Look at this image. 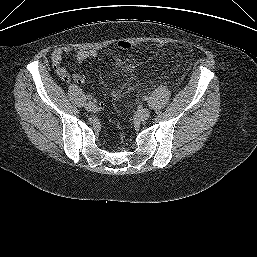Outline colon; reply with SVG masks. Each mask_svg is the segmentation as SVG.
Instances as JSON below:
<instances>
[{"instance_id":"colon-1","label":"colon","mask_w":257,"mask_h":257,"mask_svg":"<svg viewBox=\"0 0 257 257\" xmlns=\"http://www.w3.org/2000/svg\"><path fill=\"white\" fill-rule=\"evenodd\" d=\"M117 46L121 50H130L135 46V43L128 39H122L118 41Z\"/></svg>"}]
</instances>
